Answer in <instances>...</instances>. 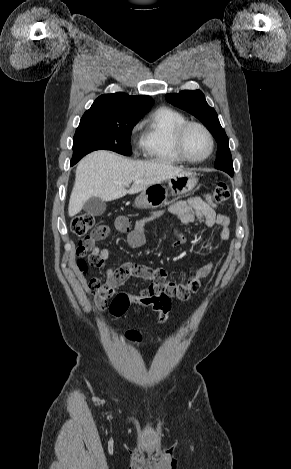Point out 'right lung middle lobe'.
<instances>
[{
	"mask_svg": "<svg viewBox=\"0 0 291 469\" xmlns=\"http://www.w3.org/2000/svg\"><path fill=\"white\" fill-rule=\"evenodd\" d=\"M139 120L140 118L83 116L73 138V157L70 165L76 164L83 156L98 149L130 156L131 131Z\"/></svg>",
	"mask_w": 291,
	"mask_h": 469,
	"instance_id": "obj_1",
	"label": "right lung middle lobe"
}]
</instances>
